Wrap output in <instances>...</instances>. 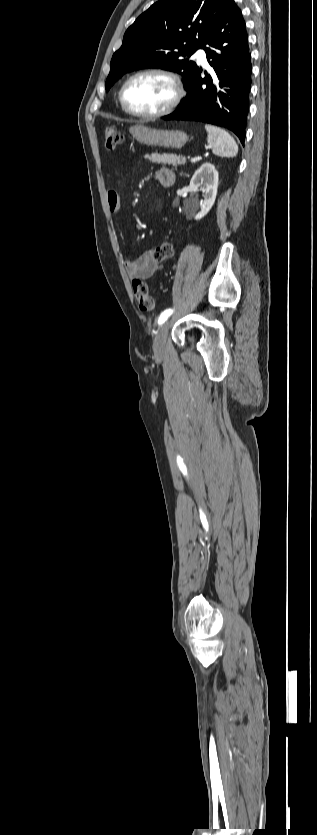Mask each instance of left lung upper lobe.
<instances>
[{"instance_id":"obj_1","label":"left lung upper lobe","mask_w":317,"mask_h":835,"mask_svg":"<svg viewBox=\"0 0 317 835\" xmlns=\"http://www.w3.org/2000/svg\"><path fill=\"white\" fill-rule=\"evenodd\" d=\"M231 0H160L127 29L111 60L106 91L125 73L162 68L179 73L184 87L195 62L189 61L217 28Z\"/></svg>"}]
</instances>
